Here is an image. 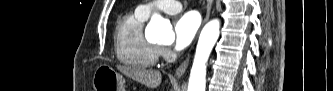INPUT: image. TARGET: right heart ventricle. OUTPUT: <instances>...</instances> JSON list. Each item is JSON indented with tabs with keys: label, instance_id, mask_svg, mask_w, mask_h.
<instances>
[{
	"label": "right heart ventricle",
	"instance_id": "obj_1",
	"mask_svg": "<svg viewBox=\"0 0 333 91\" xmlns=\"http://www.w3.org/2000/svg\"><path fill=\"white\" fill-rule=\"evenodd\" d=\"M146 18L136 10L125 15L116 26L115 53L118 60L130 68H151L159 58V48L143 35L142 28Z\"/></svg>",
	"mask_w": 333,
	"mask_h": 91
}]
</instances>
